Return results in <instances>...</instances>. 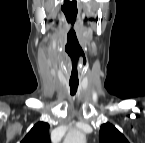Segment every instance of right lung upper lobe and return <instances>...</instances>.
Listing matches in <instances>:
<instances>
[{
    "instance_id": "obj_1",
    "label": "right lung upper lobe",
    "mask_w": 145,
    "mask_h": 143,
    "mask_svg": "<svg viewBox=\"0 0 145 143\" xmlns=\"http://www.w3.org/2000/svg\"><path fill=\"white\" fill-rule=\"evenodd\" d=\"M21 143H50L49 124L45 122L36 123Z\"/></svg>"
}]
</instances>
